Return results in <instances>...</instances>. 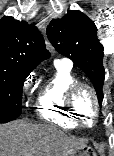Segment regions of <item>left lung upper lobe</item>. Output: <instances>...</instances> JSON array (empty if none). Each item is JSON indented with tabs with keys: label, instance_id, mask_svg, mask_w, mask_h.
Listing matches in <instances>:
<instances>
[{
	"label": "left lung upper lobe",
	"instance_id": "1",
	"mask_svg": "<svg viewBox=\"0 0 114 156\" xmlns=\"http://www.w3.org/2000/svg\"><path fill=\"white\" fill-rule=\"evenodd\" d=\"M47 35L55 49L70 58L90 78L101 105L104 54L94 22L80 11H69L63 18L50 22Z\"/></svg>",
	"mask_w": 114,
	"mask_h": 156
}]
</instances>
